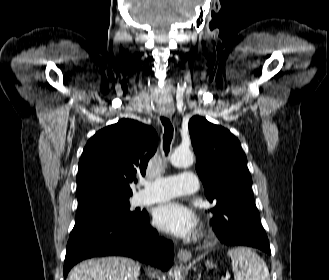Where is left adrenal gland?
<instances>
[{
  "label": "left adrenal gland",
  "mask_w": 329,
  "mask_h": 280,
  "mask_svg": "<svg viewBox=\"0 0 329 280\" xmlns=\"http://www.w3.org/2000/svg\"><path fill=\"white\" fill-rule=\"evenodd\" d=\"M200 278H201V272L198 274L197 280H200Z\"/></svg>",
  "instance_id": "obj_1"
}]
</instances>
